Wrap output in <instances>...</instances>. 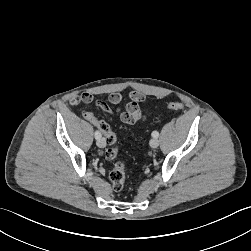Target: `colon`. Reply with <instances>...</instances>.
Returning a JSON list of instances; mask_svg holds the SVG:
<instances>
[{
	"label": "colon",
	"instance_id": "colon-1",
	"mask_svg": "<svg viewBox=\"0 0 251 251\" xmlns=\"http://www.w3.org/2000/svg\"><path fill=\"white\" fill-rule=\"evenodd\" d=\"M168 109L178 111L183 108L181 102L175 101L168 104ZM82 116L85 120L97 127L104 135L108 147L105 150V158L114 161V165L109 174V179L115 191H121L125 185V164L118 160V148L116 134L111 130L109 125L99 120L92 111H84Z\"/></svg>",
	"mask_w": 251,
	"mask_h": 251
}]
</instances>
